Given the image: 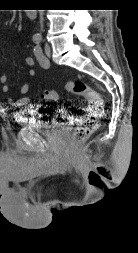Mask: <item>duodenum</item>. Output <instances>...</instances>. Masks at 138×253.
<instances>
[{
  "instance_id": "obj_1",
  "label": "duodenum",
  "mask_w": 138,
  "mask_h": 253,
  "mask_svg": "<svg viewBox=\"0 0 138 253\" xmlns=\"http://www.w3.org/2000/svg\"><path fill=\"white\" fill-rule=\"evenodd\" d=\"M26 14H27V17L31 20H33L37 17V11H35V9H28Z\"/></svg>"
}]
</instances>
